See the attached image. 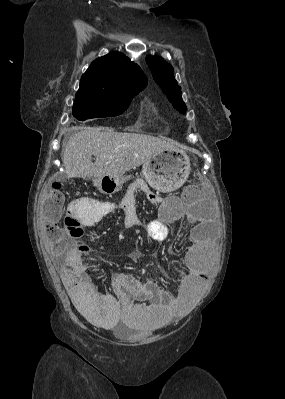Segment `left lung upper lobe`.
I'll list each match as a JSON object with an SVG mask.
<instances>
[{
  "instance_id": "left-lung-upper-lobe-1",
  "label": "left lung upper lobe",
  "mask_w": 285,
  "mask_h": 399,
  "mask_svg": "<svg viewBox=\"0 0 285 399\" xmlns=\"http://www.w3.org/2000/svg\"><path fill=\"white\" fill-rule=\"evenodd\" d=\"M146 62L152 72L155 82L167 95L169 101L181 113L186 112V105L181 96V88L175 80L173 67L166 63L161 57L147 56Z\"/></svg>"
}]
</instances>
